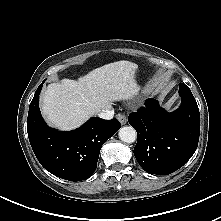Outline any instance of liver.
Segmentation results:
<instances>
[{"label": "liver", "instance_id": "obj_1", "mask_svg": "<svg viewBox=\"0 0 221 221\" xmlns=\"http://www.w3.org/2000/svg\"><path fill=\"white\" fill-rule=\"evenodd\" d=\"M138 66L117 61L96 68L78 80L51 83L41 98L47 121L61 130H72L88 118L110 109L113 102L132 98L138 92Z\"/></svg>", "mask_w": 221, "mask_h": 221}]
</instances>
